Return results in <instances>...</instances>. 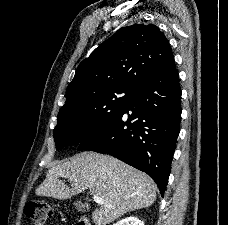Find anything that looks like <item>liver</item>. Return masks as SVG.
<instances>
[{
    "instance_id": "obj_1",
    "label": "liver",
    "mask_w": 228,
    "mask_h": 225,
    "mask_svg": "<svg viewBox=\"0 0 228 225\" xmlns=\"http://www.w3.org/2000/svg\"><path fill=\"white\" fill-rule=\"evenodd\" d=\"M59 177L68 179L71 187H67ZM87 189L102 199L99 209L92 213L95 225H109L125 213L151 207L156 201V185L146 173L114 157L92 151L79 153L67 163L52 165L45 181L36 189V195L71 199Z\"/></svg>"
}]
</instances>
